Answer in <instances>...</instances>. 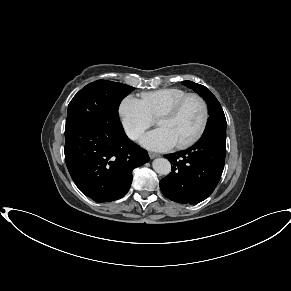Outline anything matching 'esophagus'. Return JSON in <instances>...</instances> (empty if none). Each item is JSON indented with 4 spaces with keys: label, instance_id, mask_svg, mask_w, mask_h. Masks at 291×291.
Segmentation results:
<instances>
[{
    "label": "esophagus",
    "instance_id": "1",
    "mask_svg": "<svg viewBox=\"0 0 291 291\" xmlns=\"http://www.w3.org/2000/svg\"><path fill=\"white\" fill-rule=\"evenodd\" d=\"M159 156H160V155H159L158 153L149 152V157H150L151 159L156 158V157H159Z\"/></svg>",
    "mask_w": 291,
    "mask_h": 291
}]
</instances>
